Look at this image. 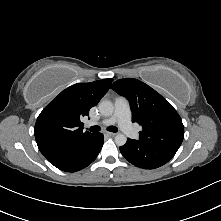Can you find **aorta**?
Wrapping results in <instances>:
<instances>
[{"label": "aorta", "instance_id": "1", "mask_svg": "<svg viewBox=\"0 0 221 221\" xmlns=\"http://www.w3.org/2000/svg\"><path fill=\"white\" fill-rule=\"evenodd\" d=\"M99 111L102 115L110 116L113 114L114 105L111 101H108V100L101 101L99 104ZM126 141H127V137L122 133H118L115 136V143L118 146H123L126 143Z\"/></svg>", "mask_w": 221, "mask_h": 221}]
</instances>
